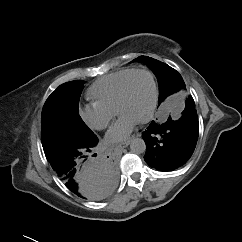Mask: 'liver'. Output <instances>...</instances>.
<instances>
[{
	"label": "liver",
	"instance_id": "1",
	"mask_svg": "<svg viewBox=\"0 0 242 242\" xmlns=\"http://www.w3.org/2000/svg\"><path fill=\"white\" fill-rule=\"evenodd\" d=\"M103 184L104 183L100 181L96 185H89V188L85 190L86 193L84 197L89 200H99L104 198L108 193L104 191Z\"/></svg>",
	"mask_w": 242,
	"mask_h": 242
}]
</instances>
